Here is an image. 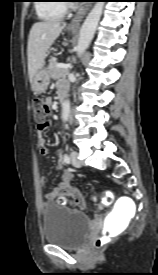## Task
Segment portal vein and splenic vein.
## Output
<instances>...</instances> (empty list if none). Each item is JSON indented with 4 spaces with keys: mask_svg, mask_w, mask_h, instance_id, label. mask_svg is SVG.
Returning <instances> with one entry per match:
<instances>
[{
    "mask_svg": "<svg viewBox=\"0 0 158 275\" xmlns=\"http://www.w3.org/2000/svg\"><path fill=\"white\" fill-rule=\"evenodd\" d=\"M57 67L68 69L71 67V64L70 63H67V64L59 63V64H57Z\"/></svg>",
    "mask_w": 158,
    "mask_h": 275,
    "instance_id": "portal-vein-and-splenic-vein-1",
    "label": "portal vein and splenic vein"
}]
</instances>
